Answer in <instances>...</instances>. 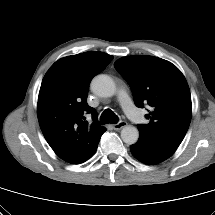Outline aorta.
I'll return each mask as SVG.
<instances>
[{"label":"aorta","mask_w":215,"mask_h":215,"mask_svg":"<svg viewBox=\"0 0 215 215\" xmlns=\"http://www.w3.org/2000/svg\"><path fill=\"white\" fill-rule=\"evenodd\" d=\"M91 91L100 97H112L116 93V84L108 75L100 74L91 81ZM123 142L132 145L139 138V131L135 126L127 125L121 130Z\"/></svg>","instance_id":"762f6f07"}]
</instances>
